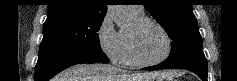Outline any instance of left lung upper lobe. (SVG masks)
Here are the masks:
<instances>
[{
	"label": "left lung upper lobe",
	"instance_id": "left-lung-upper-lobe-1",
	"mask_svg": "<svg viewBox=\"0 0 237 81\" xmlns=\"http://www.w3.org/2000/svg\"><path fill=\"white\" fill-rule=\"evenodd\" d=\"M144 6L172 39L170 56L165 64L205 58L190 0H145Z\"/></svg>",
	"mask_w": 237,
	"mask_h": 81
}]
</instances>
